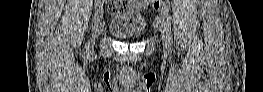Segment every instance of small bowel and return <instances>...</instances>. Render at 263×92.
<instances>
[{"label":"small bowel","instance_id":"obj_1","mask_svg":"<svg viewBox=\"0 0 263 92\" xmlns=\"http://www.w3.org/2000/svg\"><path fill=\"white\" fill-rule=\"evenodd\" d=\"M146 2L147 1H133L134 5L136 8H145V5H146Z\"/></svg>","mask_w":263,"mask_h":92}]
</instances>
